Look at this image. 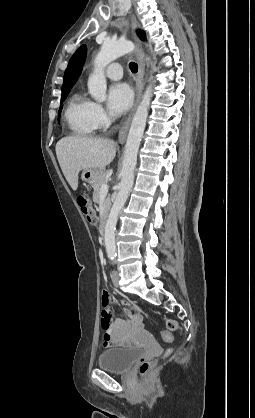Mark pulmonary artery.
<instances>
[{"mask_svg": "<svg viewBox=\"0 0 255 418\" xmlns=\"http://www.w3.org/2000/svg\"><path fill=\"white\" fill-rule=\"evenodd\" d=\"M105 74L108 78L113 79V80L121 79L122 67L118 63H112L107 67Z\"/></svg>", "mask_w": 255, "mask_h": 418, "instance_id": "obj_1", "label": "pulmonary artery"}]
</instances>
